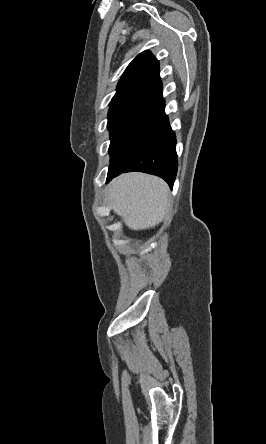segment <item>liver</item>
<instances>
[{"instance_id":"obj_1","label":"liver","mask_w":266,"mask_h":444,"mask_svg":"<svg viewBox=\"0 0 266 444\" xmlns=\"http://www.w3.org/2000/svg\"><path fill=\"white\" fill-rule=\"evenodd\" d=\"M168 196V186L162 179L143 173L123 174L109 184L112 209L132 230L158 225L168 211Z\"/></svg>"}]
</instances>
